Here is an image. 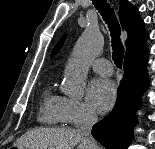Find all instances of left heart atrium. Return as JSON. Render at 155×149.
Wrapping results in <instances>:
<instances>
[{"mask_svg": "<svg viewBox=\"0 0 155 149\" xmlns=\"http://www.w3.org/2000/svg\"><path fill=\"white\" fill-rule=\"evenodd\" d=\"M88 105L100 114L109 111L116 100L114 84L106 79H94L86 95Z\"/></svg>", "mask_w": 155, "mask_h": 149, "instance_id": "1", "label": "left heart atrium"}]
</instances>
